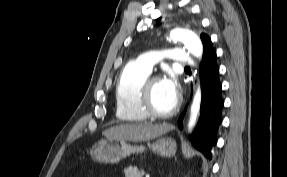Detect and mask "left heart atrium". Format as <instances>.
Returning a JSON list of instances; mask_svg holds the SVG:
<instances>
[{
  "mask_svg": "<svg viewBox=\"0 0 287 177\" xmlns=\"http://www.w3.org/2000/svg\"><path fill=\"white\" fill-rule=\"evenodd\" d=\"M162 83L173 96L177 97L178 84L173 74H168L165 76L162 79Z\"/></svg>",
  "mask_w": 287,
  "mask_h": 177,
  "instance_id": "39dd6f15",
  "label": "left heart atrium"
}]
</instances>
